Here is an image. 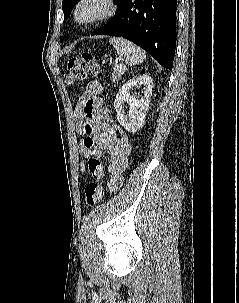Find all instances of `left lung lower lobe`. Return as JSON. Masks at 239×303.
<instances>
[{"label":"left lung lower lobe","mask_w":239,"mask_h":303,"mask_svg":"<svg viewBox=\"0 0 239 303\" xmlns=\"http://www.w3.org/2000/svg\"><path fill=\"white\" fill-rule=\"evenodd\" d=\"M176 0H123L114 17L92 35L124 37L172 70L176 47Z\"/></svg>","instance_id":"0a47b994"}]
</instances>
